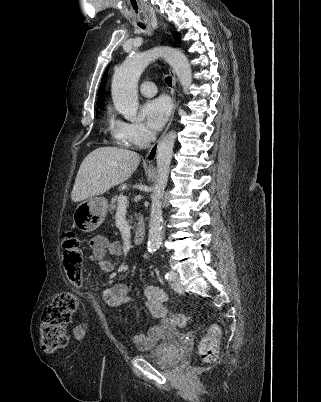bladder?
Instances as JSON below:
<instances>
[{"label":"bladder","mask_w":321,"mask_h":402,"mask_svg":"<svg viewBox=\"0 0 321 402\" xmlns=\"http://www.w3.org/2000/svg\"><path fill=\"white\" fill-rule=\"evenodd\" d=\"M179 335L174 336V340ZM140 356L149 360L157 361L165 366H173L179 360L173 341L163 342L152 348L149 352H142Z\"/></svg>","instance_id":"1"}]
</instances>
